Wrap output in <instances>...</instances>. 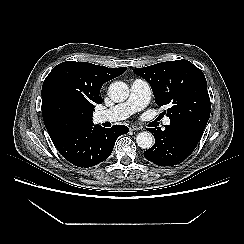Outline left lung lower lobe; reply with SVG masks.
<instances>
[{
  "mask_svg": "<svg viewBox=\"0 0 244 244\" xmlns=\"http://www.w3.org/2000/svg\"><path fill=\"white\" fill-rule=\"evenodd\" d=\"M154 137L155 145L144 152V157L159 166H173L183 162L195 149L201 136L181 127L167 125L148 128Z\"/></svg>",
  "mask_w": 244,
  "mask_h": 244,
  "instance_id": "obj_1",
  "label": "left lung lower lobe"
}]
</instances>
